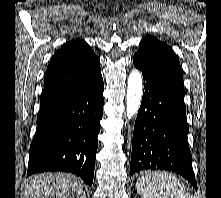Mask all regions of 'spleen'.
Returning a JSON list of instances; mask_svg holds the SVG:
<instances>
[{
	"mask_svg": "<svg viewBox=\"0 0 221 198\" xmlns=\"http://www.w3.org/2000/svg\"><path fill=\"white\" fill-rule=\"evenodd\" d=\"M136 188L142 198H192L185 185L165 171L150 172L138 178Z\"/></svg>",
	"mask_w": 221,
	"mask_h": 198,
	"instance_id": "spleen-1",
	"label": "spleen"
}]
</instances>
